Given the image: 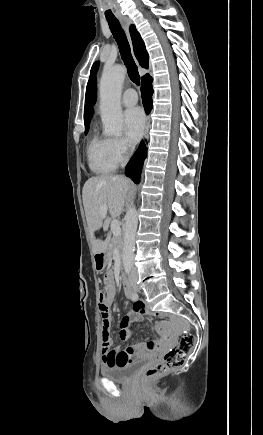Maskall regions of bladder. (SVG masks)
I'll return each instance as SVG.
<instances>
[{"instance_id": "bladder-1", "label": "bladder", "mask_w": 263, "mask_h": 435, "mask_svg": "<svg viewBox=\"0 0 263 435\" xmlns=\"http://www.w3.org/2000/svg\"><path fill=\"white\" fill-rule=\"evenodd\" d=\"M144 362V360H138L120 366H105L101 368V374L115 382H126L134 376Z\"/></svg>"}]
</instances>
